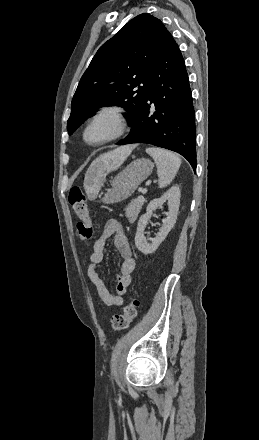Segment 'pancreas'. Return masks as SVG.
<instances>
[{
	"label": "pancreas",
	"instance_id": "cf45deb5",
	"mask_svg": "<svg viewBox=\"0 0 259 440\" xmlns=\"http://www.w3.org/2000/svg\"><path fill=\"white\" fill-rule=\"evenodd\" d=\"M143 204H144V201H142V202L138 201V198L131 200V202L124 209L126 217L130 221L134 220L137 217V215L139 214Z\"/></svg>",
	"mask_w": 259,
	"mask_h": 440
}]
</instances>
